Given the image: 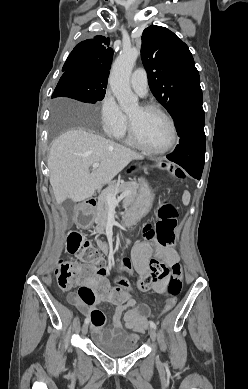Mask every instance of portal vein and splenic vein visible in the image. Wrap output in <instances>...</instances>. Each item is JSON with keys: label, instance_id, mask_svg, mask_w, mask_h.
Wrapping results in <instances>:
<instances>
[{"label": "portal vein and splenic vein", "instance_id": "18ae733b", "mask_svg": "<svg viewBox=\"0 0 248 389\" xmlns=\"http://www.w3.org/2000/svg\"><path fill=\"white\" fill-rule=\"evenodd\" d=\"M100 166V163H94L92 165L93 169L97 168ZM105 197H106V200L108 202V204L110 206H116L118 205V203L123 199L125 198L127 195H129V192H123L118 198L115 197V195H113L110 191L108 190H104L103 191Z\"/></svg>", "mask_w": 248, "mask_h": 389}]
</instances>
